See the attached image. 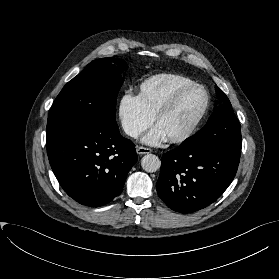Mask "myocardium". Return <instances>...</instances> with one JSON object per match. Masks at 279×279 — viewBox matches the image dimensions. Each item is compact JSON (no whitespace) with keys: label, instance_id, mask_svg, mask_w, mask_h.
<instances>
[{"label":"myocardium","instance_id":"obj_1","mask_svg":"<svg viewBox=\"0 0 279 279\" xmlns=\"http://www.w3.org/2000/svg\"><path fill=\"white\" fill-rule=\"evenodd\" d=\"M193 89H201L203 90L205 94V101L203 104L202 109L200 110L199 114L196 116L192 124L180 135L174 136V137H168V140L171 143H182L188 140L198 129L199 125L201 124L203 118L205 117L209 104H210V95L208 90L201 84L193 83L187 86H184L180 89H178L172 97L165 103V105L157 112L155 115L154 121L156 124L160 122L162 118H164L166 115H168L179 103L181 98L189 91Z\"/></svg>","mask_w":279,"mask_h":279}]
</instances>
